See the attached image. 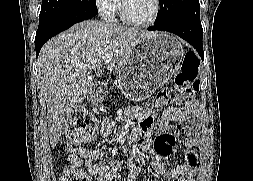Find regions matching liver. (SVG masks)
I'll return each mask as SVG.
<instances>
[{
	"label": "liver",
	"instance_id": "1",
	"mask_svg": "<svg viewBox=\"0 0 253 181\" xmlns=\"http://www.w3.org/2000/svg\"><path fill=\"white\" fill-rule=\"evenodd\" d=\"M154 34L140 28L88 20L73 25L42 47L37 69L47 104L51 146L58 143L68 118L91 92L93 81L88 78L89 70L98 68L103 57L112 53L114 59L108 69L118 72L132 49Z\"/></svg>",
	"mask_w": 253,
	"mask_h": 181
}]
</instances>
